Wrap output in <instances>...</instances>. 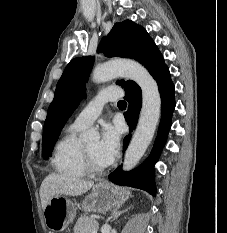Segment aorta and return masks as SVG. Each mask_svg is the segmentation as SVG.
I'll use <instances>...</instances> for the list:
<instances>
[{"mask_svg": "<svg viewBox=\"0 0 227 233\" xmlns=\"http://www.w3.org/2000/svg\"><path fill=\"white\" fill-rule=\"evenodd\" d=\"M116 77H126L135 81L142 91V108L137 128L126 150L123 170L133 169L153 139L160 118L161 97L158 85L149 72L139 63L130 60L107 62L94 69L92 79L103 83ZM99 139V133L91 128L83 134V140L91 142Z\"/></svg>", "mask_w": 227, "mask_h": 233, "instance_id": "obj_1", "label": "aorta"}]
</instances>
